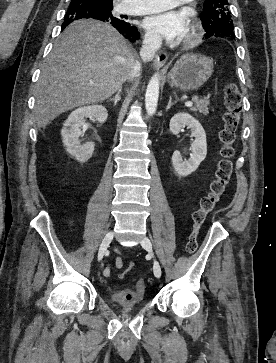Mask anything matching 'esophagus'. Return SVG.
<instances>
[{
    "instance_id": "obj_1",
    "label": "esophagus",
    "mask_w": 276,
    "mask_h": 363,
    "mask_svg": "<svg viewBox=\"0 0 276 363\" xmlns=\"http://www.w3.org/2000/svg\"><path fill=\"white\" fill-rule=\"evenodd\" d=\"M168 59V53L166 51H160L156 57H155V60H154V67L156 69H160L164 66V64L166 63Z\"/></svg>"
}]
</instances>
